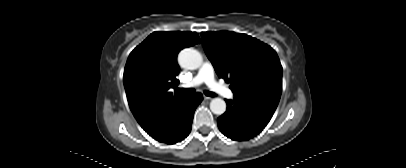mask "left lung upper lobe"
I'll return each instance as SVG.
<instances>
[{
	"label": "left lung upper lobe",
	"instance_id": "left-lung-upper-lobe-1",
	"mask_svg": "<svg viewBox=\"0 0 406 168\" xmlns=\"http://www.w3.org/2000/svg\"><path fill=\"white\" fill-rule=\"evenodd\" d=\"M201 35L207 57L217 75L231 83L234 98L275 110L282 92V66L275 50L246 34Z\"/></svg>",
	"mask_w": 406,
	"mask_h": 168
}]
</instances>
